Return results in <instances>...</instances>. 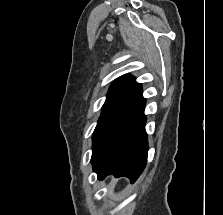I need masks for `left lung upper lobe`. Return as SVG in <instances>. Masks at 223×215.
Wrapping results in <instances>:
<instances>
[{"instance_id":"obj_1","label":"left lung upper lobe","mask_w":223,"mask_h":215,"mask_svg":"<svg viewBox=\"0 0 223 215\" xmlns=\"http://www.w3.org/2000/svg\"><path fill=\"white\" fill-rule=\"evenodd\" d=\"M142 99L141 85L132 76H122L111 85L92 135V158L110 131Z\"/></svg>"}]
</instances>
